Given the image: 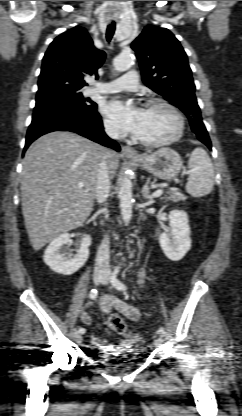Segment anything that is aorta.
I'll use <instances>...</instances> for the list:
<instances>
[{
  "mask_svg": "<svg viewBox=\"0 0 242 416\" xmlns=\"http://www.w3.org/2000/svg\"><path fill=\"white\" fill-rule=\"evenodd\" d=\"M132 63L133 55L131 53L123 52L114 59L113 66L117 71L123 72L128 70ZM119 198L122 219L125 223H129L132 217L133 196L132 181L127 172L120 184Z\"/></svg>",
  "mask_w": 242,
  "mask_h": 416,
  "instance_id": "1",
  "label": "aorta"
}]
</instances>
